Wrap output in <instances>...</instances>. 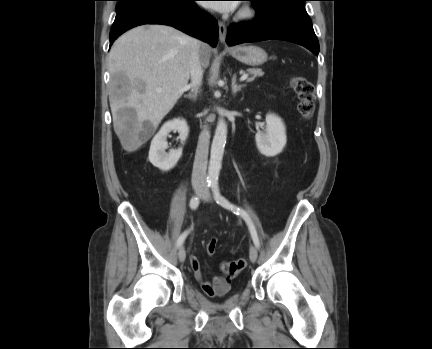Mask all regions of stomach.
Returning a JSON list of instances; mask_svg holds the SVG:
<instances>
[{
    "mask_svg": "<svg viewBox=\"0 0 432 349\" xmlns=\"http://www.w3.org/2000/svg\"><path fill=\"white\" fill-rule=\"evenodd\" d=\"M229 53L239 62L249 66H259L267 61V53L254 45H241L229 49Z\"/></svg>",
    "mask_w": 432,
    "mask_h": 349,
    "instance_id": "stomach-1",
    "label": "stomach"
}]
</instances>
